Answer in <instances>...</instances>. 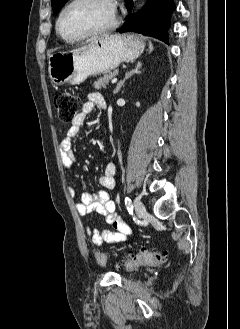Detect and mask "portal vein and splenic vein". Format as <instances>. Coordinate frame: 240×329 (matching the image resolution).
<instances>
[{"mask_svg": "<svg viewBox=\"0 0 240 329\" xmlns=\"http://www.w3.org/2000/svg\"><path fill=\"white\" fill-rule=\"evenodd\" d=\"M111 82H112V83H116V82H117V78L112 79Z\"/></svg>", "mask_w": 240, "mask_h": 329, "instance_id": "18ae733b", "label": "portal vein and splenic vein"}]
</instances>
